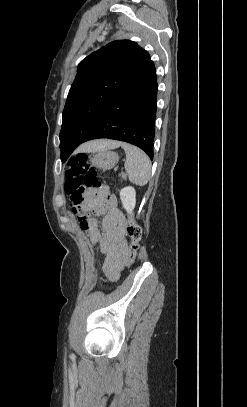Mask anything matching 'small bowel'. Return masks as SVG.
Returning a JSON list of instances; mask_svg holds the SVG:
<instances>
[{
	"label": "small bowel",
	"mask_w": 247,
	"mask_h": 407,
	"mask_svg": "<svg viewBox=\"0 0 247 407\" xmlns=\"http://www.w3.org/2000/svg\"><path fill=\"white\" fill-rule=\"evenodd\" d=\"M72 212L91 246L99 245L104 256V273L109 280H116L128 262V240L125 216L118 209L115 198L108 189L93 191L80 204L72 203ZM96 216L103 217L101 222Z\"/></svg>",
	"instance_id": "small-bowel-1"
}]
</instances>
